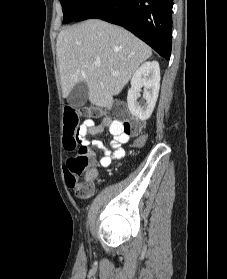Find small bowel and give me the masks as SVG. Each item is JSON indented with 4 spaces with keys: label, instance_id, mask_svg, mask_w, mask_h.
<instances>
[{
    "label": "small bowel",
    "instance_id": "small-bowel-1",
    "mask_svg": "<svg viewBox=\"0 0 227 279\" xmlns=\"http://www.w3.org/2000/svg\"><path fill=\"white\" fill-rule=\"evenodd\" d=\"M117 125L115 127L114 125ZM106 129L109 130L110 135L112 136L111 140V150L106 149L103 145V142L99 139H93L88 137L86 140V145L89 150L99 149L102 151V156L99 160L101 167L109 166L112 161L117 160L124 156L125 150L123 145L128 142L130 134L125 132L121 126L114 122V120L109 116H104L99 120V122L88 121L86 132L88 135H99L103 133ZM97 173L95 168H92L88 172V178H93ZM65 174L68 176V172L65 171Z\"/></svg>",
    "mask_w": 227,
    "mask_h": 279
}]
</instances>
